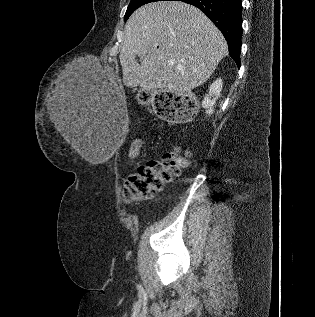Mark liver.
<instances>
[{
    "label": "liver",
    "mask_w": 315,
    "mask_h": 317,
    "mask_svg": "<svg viewBox=\"0 0 315 317\" xmlns=\"http://www.w3.org/2000/svg\"><path fill=\"white\" fill-rule=\"evenodd\" d=\"M124 32L119 59L123 83L130 88L187 93L205 83L228 54L219 29L199 9L183 2L162 1L140 7L128 19ZM50 119L85 157L83 121L70 87H56Z\"/></svg>",
    "instance_id": "liver-1"
}]
</instances>
